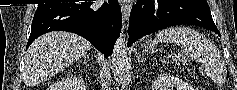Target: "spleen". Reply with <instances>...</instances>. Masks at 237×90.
I'll use <instances>...</instances> for the list:
<instances>
[{"label":"spleen","instance_id":"obj_1","mask_svg":"<svg viewBox=\"0 0 237 90\" xmlns=\"http://www.w3.org/2000/svg\"><path fill=\"white\" fill-rule=\"evenodd\" d=\"M154 42L155 44L157 42H162V44L170 42V44L181 46L189 62L200 64L204 72L209 70L210 62H216L217 60L218 52L214 44L207 40L203 34H199L192 28H184V26L183 28H177V26L176 28H166V30L158 32Z\"/></svg>","mask_w":237,"mask_h":90}]
</instances>
